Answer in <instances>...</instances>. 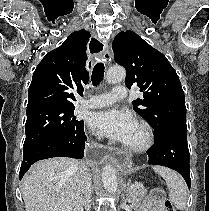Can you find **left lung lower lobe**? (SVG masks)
I'll return each mask as SVG.
<instances>
[{
  "label": "left lung lower lobe",
  "mask_w": 209,
  "mask_h": 211,
  "mask_svg": "<svg viewBox=\"0 0 209 211\" xmlns=\"http://www.w3.org/2000/svg\"><path fill=\"white\" fill-rule=\"evenodd\" d=\"M147 154L149 156L148 164L166 166L179 172L190 189L186 125H178L168 129L162 136L155 139V144L148 150Z\"/></svg>",
  "instance_id": "0a47b994"
}]
</instances>
